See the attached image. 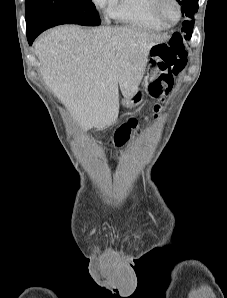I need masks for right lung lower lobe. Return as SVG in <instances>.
Segmentation results:
<instances>
[{
    "label": "right lung lower lobe",
    "mask_w": 227,
    "mask_h": 298,
    "mask_svg": "<svg viewBox=\"0 0 227 298\" xmlns=\"http://www.w3.org/2000/svg\"><path fill=\"white\" fill-rule=\"evenodd\" d=\"M40 33H41V31H35V32L27 34L29 45H32V42Z\"/></svg>",
    "instance_id": "98d812e1"
}]
</instances>
